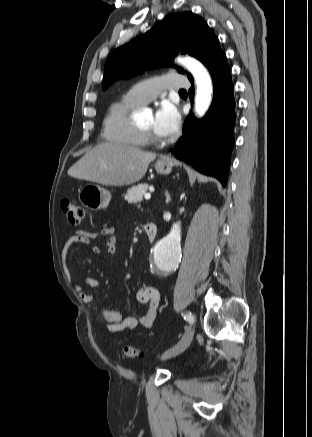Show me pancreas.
Masks as SVG:
<instances>
[{"mask_svg":"<svg viewBox=\"0 0 312 437\" xmlns=\"http://www.w3.org/2000/svg\"><path fill=\"white\" fill-rule=\"evenodd\" d=\"M147 190H148V184L135 185L127 191L124 198L129 203L141 202L143 200V196L146 194Z\"/></svg>","mask_w":312,"mask_h":437,"instance_id":"pancreas-1","label":"pancreas"}]
</instances>
